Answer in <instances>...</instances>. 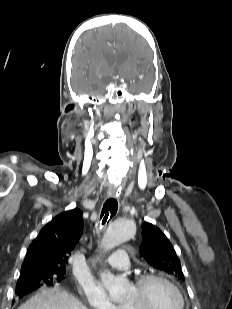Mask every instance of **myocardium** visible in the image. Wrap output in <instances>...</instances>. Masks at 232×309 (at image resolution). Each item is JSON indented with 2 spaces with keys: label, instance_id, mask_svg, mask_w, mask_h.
<instances>
[{
  "label": "myocardium",
  "instance_id": "f54148a6",
  "mask_svg": "<svg viewBox=\"0 0 232 309\" xmlns=\"http://www.w3.org/2000/svg\"><path fill=\"white\" fill-rule=\"evenodd\" d=\"M153 280H159L167 285H169L178 295L180 300V306L179 309H184L185 307V298L183 293L181 292L179 286L171 280L169 277L156 272H148L137 275L133 280V286L137 289L139 300L136 302H125L123 304L125 309H146L144 306V297H143V291L147 283Z\"/></svg>",
  "mask_w": 232,
  "mask_h": 309
}]
</instances>
